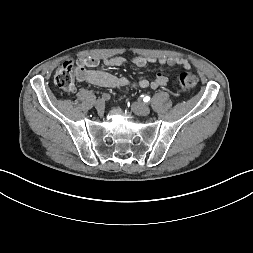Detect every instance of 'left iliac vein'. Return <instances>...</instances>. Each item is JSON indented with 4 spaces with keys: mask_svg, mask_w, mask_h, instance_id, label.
Instances as JSON below:
<instances>
[{
    "mask_svg": "<svg viewBox=\"0 0 253 253\" xmlns=\"http://www.w3.org/2000/svg\"><path fill=\"white\" fill-rule=\"evenodd\" d=\"M131 108L133 112L139 116H147L150 114V108L145 103L134 102Z\"/></svg>",
    "mask_w": 253,
    "mask_h": 253,
    "instance_id": "4c4485c4",
    "label": "left iliac vein"
}]
</instances>
